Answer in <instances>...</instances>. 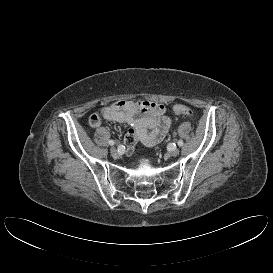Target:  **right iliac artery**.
<instances>
[{
	"instance_id": "right-iliac-artery-1",
	"label": "right iliac artery",
	"mask_w": 273,
	"mask_h": 273,
	"mask_svg": "<svg viewBox=\"0 0 273 273\" xmlns=\"http://www.w3.org/2000/svg\"><path fill=\"white\" fill-rule=\"evenodd\" d=\"M114 144H115V142H114L113 140H110V141H109V145L112 146V145H114Z\"/></svg>"
}]
</instances>
